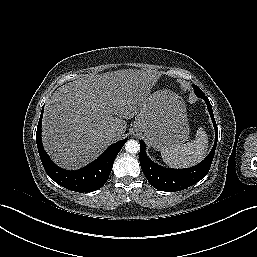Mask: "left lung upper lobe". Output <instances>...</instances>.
<instances>
[{
  "instance_id": "left-lung-upper-lobe-1",
  "label": "left lung upper lobe",
  "mask_w": 257,
  "mask_h": 257,
  "mask_svg": "<svg viewBox=\"0 0 257 257\" xmlns=\"http://www.w3.org/2000/svg\"><path fill=\"white\" fill-rule=\"evenodd\" d=\"M194 86H195L196 90H200V88L198 86H196V85H194Z\"/></svg>"
}]
</instances>
